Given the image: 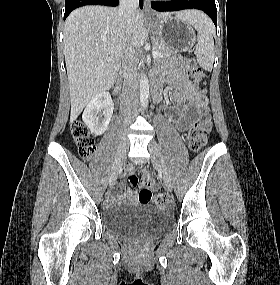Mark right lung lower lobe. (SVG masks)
Instances as JSON below:
<instances>
[{
    "mask_svg": "<svg viewBox=\"0 0 280 285\" xmlns=\"http://www.w3.org/2000/svg\"><path fill=\"white\" fill-rule=\"evenodd\" d=\"M118 4L119 0H65L64 20L71 13V11L80 6L84 5L117 6ZM140 8H143L142 0H140Z\"/></svg>",
    "mask_w": 280,
    "mask_h": 285,
    "instance_id": "obj_1",
    "label": "right lung lower lobe"
}]
</instances>
